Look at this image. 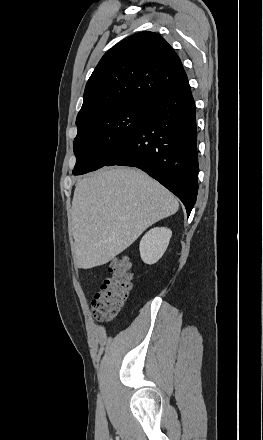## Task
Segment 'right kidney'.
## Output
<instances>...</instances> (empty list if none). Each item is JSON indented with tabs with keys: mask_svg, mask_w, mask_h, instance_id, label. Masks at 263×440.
I'll list each match as a JSON object with an SVG mask.
<instances>
[{
	"mask_svg": "<svg viewBox=\"0 0 263 440\" xmlns=\"http://www.w3.org/2000/svg\"><path fill=\"white\" fill-rule=\"evenodd\" d=\"M172 231L165 227H156L148 231L140 241V256L144 263H156L166 251Z\"/></svg>",
	"mask_w": 263,
	"mask_h": 440,
	"instance_id": "ca27d5eb",
	"label": "right kidney"
}]
</instances>
